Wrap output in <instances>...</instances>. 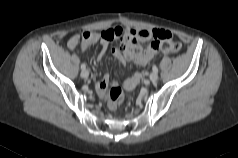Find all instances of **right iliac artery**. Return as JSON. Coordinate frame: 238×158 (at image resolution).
<instances>
[{
  "label": "right iliac artery",
  "mask_w": 238,
  "mask_h": 158,
  "mask_svg": "<svg viewBox=\"0 0 238 158\" xmlns=\"http://www.w3.org/2000/svg\"><path fill=\"white\" fill-rule=\"evenodd\" d=\"M85 68H86V64L83 63V64L81 65V69L84 70Z\"/></svg>",
  "instance_id": "1"
}]
</instances>
